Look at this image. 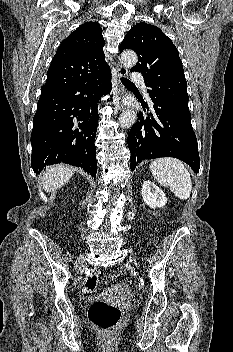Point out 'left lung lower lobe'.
<instances>
[{
  "label": "left lung lower lobe",
  "mask_w": 233,
  "mask_h": 352,
  "mask_svg": "<svg viewBox=\"0 0 233 352\" xmlns=\"http://www.w3.org/2000/svg\"><path fill=\"white\" fill-rule=\"evenodd\" d=\"M149 96L152 107L142 104L148 116L144 118L139 113L128 134L131 170L145 159L174 157L187 163L195 173L199 172L198 145L189 109L155 95Z\"/></svg>",
  "instance_id": "0a47b994"
}]
</instances>
